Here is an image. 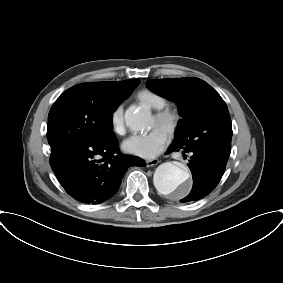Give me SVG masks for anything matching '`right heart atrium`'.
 I'll list each match as a JSON object with an SVG mask.
<instances>
[{
    "label": "right heart atrium",
    "mask_w": 283,
    "mask_h": 283,
    "mask_svg": "<svg viewBox=\"0 0 283 283\" xmlns=\"http://www.w3.org/2000/svg\"><path fill=\"white\" fill-rule=\"evenodd\" d=\"M111 126L113 131L122 135L125 132V118H124V106L119 104L111 113L110 117Z\"/></svg>",
    "instance_id": "1"
}]
</instances>
